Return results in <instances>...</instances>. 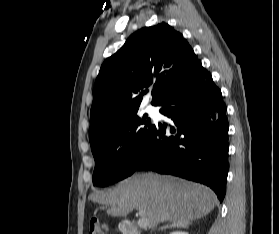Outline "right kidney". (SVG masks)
<instances>
[{
	"instance_id": "right-kidney-1",
	"label": "right kidney",
	"mask_w": 279,
	"mask_h": 234,
	"mask_svg": "<svg viewBox=\"0 0 279 234\" xmlns=\"http://www.w3.org/2000/svg\"><path fill=\"white\" fill-rule=\"evenodd\" d=\"M170 234H188V232H185V231H175V232H171Z\"/></svg>"
}]
</instances>
